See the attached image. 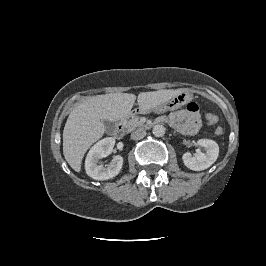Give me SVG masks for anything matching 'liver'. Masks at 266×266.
<instances>
[{"mask_svg":"<svg viewBox=\"0 0 266 266\" xmlns=\"http://www.w3.org/2000/svg\"><path fill=\"white\" fill-rule=\"evenodd\" d=\"M181 91L142 92L137 97L139 109H152ZM135 100L136 96L129 93L96 95L88 97L71 111L63 130V154L73 170L80 172L84 154L103 136L106 131L104 121L115 122L127 118Z\"/></svg>","mask_w":266,"mask_h":266,"instance_id":"6515ba94","label":"liver"}]
</instances>
